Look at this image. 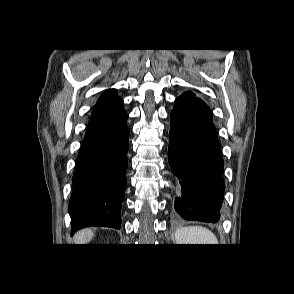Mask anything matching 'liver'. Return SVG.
<instances>
[{"label":"liver","mask_w":294,"mask_h":294,"mask_svg":"<svg viewBox=\"0 0 294 294\" xmlns=\"http://www.w3.org/2000/svg\"><path fill=\"white\" fill-rule=\"evenodd\" d=\"M94 237L91 229H82L74 235V242L76 244H87Z\"/></svg>","instance_id":"1"}]
</instances>
